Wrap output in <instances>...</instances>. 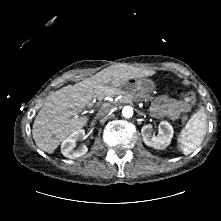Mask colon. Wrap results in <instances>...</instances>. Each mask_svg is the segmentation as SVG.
Masks as SVG:
<instances>
[{
  "label": "colon",
  "mask_w": 221,
  "mask_h": 221,
  "mask_svg": "<svg viewBox=\"0 0 221 221\" xmlns=\"http://www.w3.org/2000/svg\"><path fill=\"white\" fill-rule=\"evenodd\" d=\"M178 94H182V91L178 90L177 91ZM187 106H189L190 108L192 107V105L195 102V95L192 92L187 93L183 100H182Z\"/></svg>",
  "instance_id": "5ec220e1"
}]
</instances>
